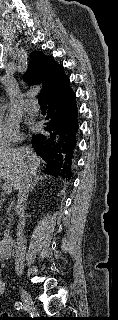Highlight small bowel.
Here are the masks:
<instances>
[{
    "mask_svg": "<svg viewBox=\"0 0 118 320\" xmlns=\"http://www.w3.org/2000/svg\"><path fill=\"white\" fill-rule=\"evenodd\" d=\"M4 287H5V284H4V281L2 279V275H1V271H0V295L3 294Z\"/></svg>",
    "mask_w": 118,
    "mask_h": 320,
    "instance_id": "c3829d8e",
    "label": "small bowel"
}]
</instances>
